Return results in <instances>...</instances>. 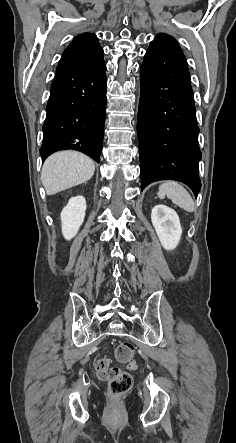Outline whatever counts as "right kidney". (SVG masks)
<instances>
[{
	"mask_svg": "<svg viewBox=\"0 0 236 443\" xmlns=\"http://www.w3.org/2000/svg\"><path fill=\"white\" fill-rule=\"evenodd\" d=\"M86 200L83 196L72 197L61 212L62 234L65 239H72L85 218Z\"/></svg>",
	"mask_w": 236,
	"mask_h": 443,
	"instance_id": "ca27d5eb",
	"label": "right kidney"
}]
</instances>
